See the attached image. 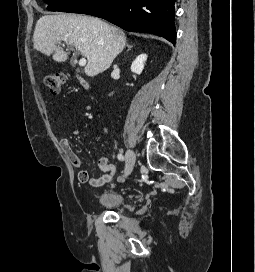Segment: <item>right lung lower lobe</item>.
<instances>
[{
    "mask_svg": "<svg viewBox=\"0 0 255 272\" xmlns=\"http://www.w3.org/2000/svg\"><path fill=\"white\" fill-rule=\"evenodd\" d=\"M175 0H98L85 14L131 32H146L176 42Z\"/></svg>",
    "mask_w": 255,
    "mask_h": 272,
    "instance_id": "obj_1",
    "label": "right lung lower lobe"
}]
</instances>
